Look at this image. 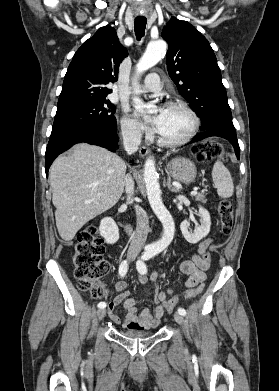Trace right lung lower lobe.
I'll use <instances>...</instances> for the list:
<instances>
[{"label":"right lung lower lobe","instance_id":"98d812e1","mask_svg":"<svg viewBox=\"0 0 279 391\" xmlns=\"http://www.w3.org/2000/svg\"><path fill=\"white\" fill-rule=\"evenodd\" d=\"M80 142L99 145L115 152V148L118 147L116 120L52 132L45 154L46 175L51 163L59 154Z\"/></svg>","mask_w":279,"mask_h":391}]
</instances>
